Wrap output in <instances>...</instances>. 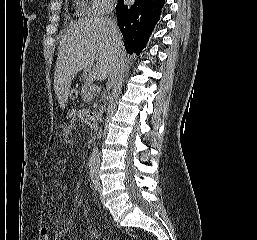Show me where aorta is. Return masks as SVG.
<instances>
[{
    "mask_svg": "<svg viewBox=\"0 0 257 240\" xmlns=\"http://www.w3.org/2000/svg\"><path fill=\"white\" fill-rule=\"evenodd\" d=\"M99 165H100V156H99L98 147H94L91 153L90 161H89L90 177L92 180H98Z\"/></svg>",
    "mask_w": 257,
    "mask_h": 240,
    "instance_id": "aorta-1",
    "label": "aorta"
}]
</instances>
